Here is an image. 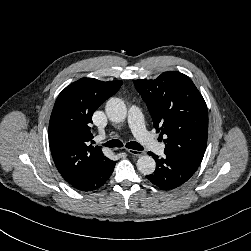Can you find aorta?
Listing matches in <instances>:
<instances>
[{
  "instance_id": "aorta-1",
  "label": "aorta",
  "mask_w": 251,
  "mask_h": 251,
  "mask_svg": "<svg viewBox=\"0 0 251 251\" xmlns=\"http://www.w3.org/2000/svg\"><path fill=\"white\" fill-rule=\"evenodd\" d=\"M105 111L108 118L115 123L125 121L127 116L126 105L120 98H110L106 103ZM136 165L139 172L144 175L153 174L156 168L155 160L149 155L139 157Z\"/></svg>"
}]
</instances>
